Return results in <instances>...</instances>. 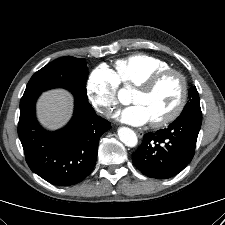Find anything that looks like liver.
I'll return each instance as SVG.
<instances>
[{
  "instance_id": "6515ba94",
  "label": "liver",
  "mask_w": 225,
  "mask_h": 225,
  "mask_svg": "<svg viewBox=\"0 0 225 225\" xmlns=\"http://www.w3.org/2000/svg\"><path fill=\"white\" fill-rule=\"evenodd\" d=\"M73 112V96L64 89L42 93L37 102V118L49 130L63 127Z\"/></svg>"
}]
</instances>
